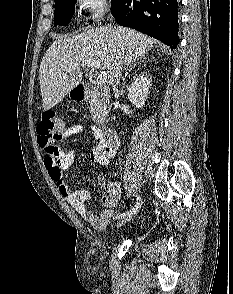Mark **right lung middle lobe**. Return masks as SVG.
<instances>
[{
  "label": "right lung middle lobe",
  "instance_id": "1",
  "mask_svg": "<svg viewBox=\"0 0 233 294\" xmlns=\"http://www.w3.org/2000/svg\"><path fill=\"white\" fill-rule=\"evenodd\" d=\"M77 0H55L54 26L67 25L72 18ZM115 0H112V3Z\"/></svg>",
  "mask_w": 233,
  "mask_h": 294
}]
</instances>
